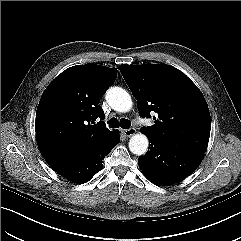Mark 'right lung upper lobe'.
<instances>
[{"instance_id": "right-lung-upper-lobe-1", "label": "right lung upper lobe", "mask_w": 241, "mask_h": 241, "mask_svg": "<svg viewBox=\"0 0 241 241\" xmlns=\"http://www.w3.org/2000/svg\"><path fill=\"white\" fill-rule=\"evenodd\" d=\"M116 76V68L76 65L46 88L35 127L40 152L52 168L80 160L111 140L116 131L106 128L98 104Z\"/></svg>"}]
</instances>
